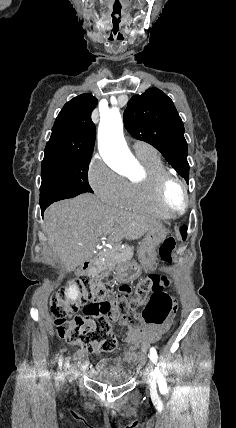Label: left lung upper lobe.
Listing matches in <instances>:
<instances>
[{"label": "left lung upper lobe", "instance_id": "5c2ea615", "mask_svg": "<svg viewBox=\"0 0 236 428\" xmlns=\"http://www.w3.org/2000/svg\"><path fill=\"white\" fill-rule=\"evenodd\" d=\"M128 132L145 141L165 157L188 182L187 143L184 127L172 100L157 88L133 96L124 112Z\"/></svg>", "mask_w": 236, "mask_h": 428}]
</instances>
